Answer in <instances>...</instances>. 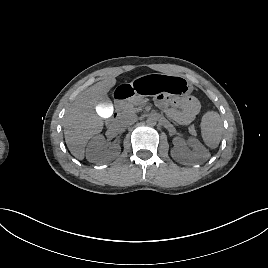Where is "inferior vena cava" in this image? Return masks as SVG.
Returning a JSON list of instances; mask_svg holds the SVG:
<instances>
[{
	"label": "inferior vena cava",
	"mask_w": 268,
	"mask_h": 268,
	"mask_svg": "<svg viewBox=\"0 0 268 268\" xmlns=\"http://www.w3.org/2000/svg\"><path fill=\"white\" fill-rule=\"evenodd\" d=\"M137 121V115L134 113H128L125 114L121 119H120V124L123 127H128L132 124H134Z\"/></svg>",
	"instance_id": "obj_1"
}]
</instances>
